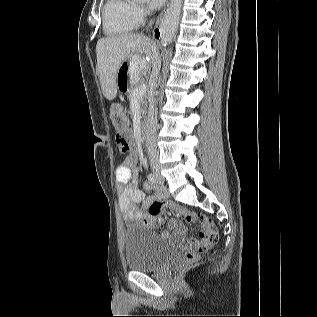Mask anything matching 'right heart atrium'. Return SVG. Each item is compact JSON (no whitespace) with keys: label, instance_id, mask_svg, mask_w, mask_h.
Wrapping results in <instances>:
<instances>
[{"label":"right heart atrium","instance_id":"d8ad5b80","mask_svg":"<svg viewBox=\"0 0 317 317\" xmlns=\"http://www.w3.org/2000/svg\"><path fill=\"white\" fill-rule=\"evenodd\" d=\"M135 16L138 23H141L146 17V10L142 6H135Z\"/></svg>","mask_w":317,"mask_h":317}]
</instances>
